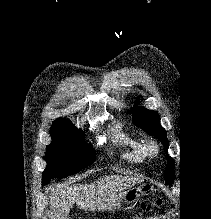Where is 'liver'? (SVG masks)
I'll use <instances>...</instances> for the list:
<instances>
[{"mask_svg": "<svg viewBox=\"0 0 211 219\" xmlns=\"http://www.w3.org/2000/svg\"><path fill=\"white\" fill-rule=\"evenodd\" d=\"M138 182L130 176H106L91 184L57 186L50 195L52 219H65L73 204L85 211L113 210L119 207L126 189ZM119 192V193H118Z\"/></svg>", "mask_w": 211, "mask_h": 219, "instance_id": "1", "label": "liver"}]
</instances>
